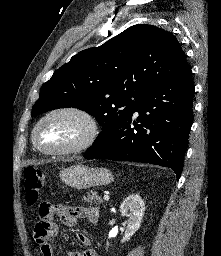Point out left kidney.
<instances>
[{
    "instance_id": "obj_1",
    "label": "left kidney",
    "mask_w": 221,
    "mask_h": 256,
    "mask_svg": "<svg viewBox=\"0 0 221 256\" xmlns=\"http://www.w3.org/2000/svg\"><path fill=\"white\" fill-rule=\"evenodd\" d=\"M145 211V203L138 194L129 195L120 205V212L126 216L127 227L122 243L129 241L134 233L140 228Z\"/></svg>"
}]
</instances>
